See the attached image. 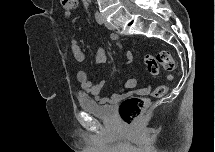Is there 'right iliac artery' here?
Wrapping results in <instances>:
<instances>
[{"label":"right iliac artery","instance_id":"right-iliac-artery-1","mask_svg":"<svg viewBox=\"0 0 215 152\" xmlns=\"http://www.w3.org/2000/svg\"><path fill=\"white\" fill-rule=\"evenodd\" d=\"M95 19L98 24L102 25L104 23L103 19L101 18L100 14L98 12L95 13Z\"/></svg>","mask_w":215,"mask_h":152}]
</instances>
